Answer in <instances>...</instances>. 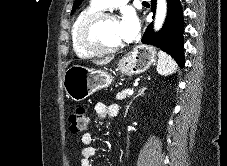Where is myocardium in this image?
Wrapping results in <instances>:
<instances>
[{
    "label": "myocardium",
    "instance_id": "1",
    "mask_svg": "<svg viewBox=\"0 0 227 166\" xmlns=\"http://www.w3.org/2000/svg\"><path fill=\"white\" fill-rule=\"evenodd\" d=\"M104 20H117V15L110 11H98L89 14L79 24L77 29V40L79 45L93 54H112L124 47V43L114 47H104L100 45L92 35V29Z\"/></svg>",
    "mask_w": 227,
    "mask_h": 166
}]
</instances>
